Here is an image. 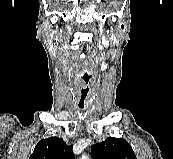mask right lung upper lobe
Masks as SVG:
<instances>
[{"label": "right lung upper lobe", "mask_w": 173, "mask_h": 159, "mask_svg": "<svg viewBox=\"0 0 173 159\" xmlns=\"http://www.w3.org/2000/svg\"><path fill=\"white\" fill-rule=\"evenodd\" d=\"M72 145H67L62 138L50 137L41 140L29 159H74Z\"/></svg>", "instance_id": "1"}]
</instances>
